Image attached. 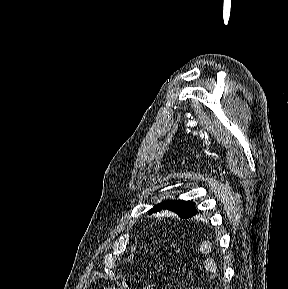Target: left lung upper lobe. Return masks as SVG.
<instances>
[{
  "mask_svg": "<svg viewBox=\"0 0 288 289\" xmlns=\"http://www.w3.org/2000/svg\"><path fill=\"white\" fill-rule=\"evenodd\" d=\"M161 210H170L177 213L181 218H188L196 209L192 201L167 200L155 205L149 210L148 214L157 213Z\"/></svg>",
  "mask_w": 288,
  "mask_h": 289,
  "instance_id": "obj_1",
  "label": "left lung upper lobe"
}]
</instances>
